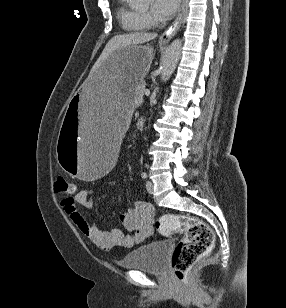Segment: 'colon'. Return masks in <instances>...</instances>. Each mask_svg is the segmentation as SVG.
Returning <instances> with one entry per match:
<instances>
[{
	"mask_svg": "<svg viewBox=\"0 0 286 308\" xmlns=\"http://www.w3.org/2000/svg\"><path fill=\"white\" fill-rule=\"evenodd\" d=\"M54 190L59 195L72 197L75 184L66 178L59 177L54 184ZM157 228L165 236L174 232L183 233L182 240L176 245L172 254V269L181 283H187V273L190 268L214 245L213 230L202 220L182 214L162 215L157 222Z\"/></svg>",
	"mask_w": 286,
	"mask_h": 308,
	"instance_id": "5ec220e1",
	"label": "colon"
}]
</instances>
